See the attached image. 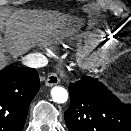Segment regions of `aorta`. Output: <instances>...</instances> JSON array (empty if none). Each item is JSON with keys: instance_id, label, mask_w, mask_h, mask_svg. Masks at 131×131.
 Returning <instances> with one entry per match:
<instances>
[{"instance_id": "762f6f07", "label": "aorta", "mask_w": 131, "mask_h": 131, "mask_svg": "<svg viewBox=\"0 0 131 131\" xmlns=\"http://www.w3.org/2000/svg\"><path fill=\"white\" fill-rule=\"evenodd\" d=\"M52 100L56 103H65L68 99V93L65 88L55 86L51 90Z\"/></svg>"}]
</instances>
